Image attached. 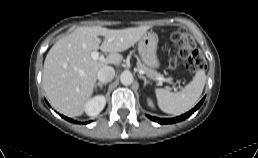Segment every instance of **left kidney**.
<instances>
[{
	"mask_svg": "<svg viewBox=\"0 0 258 158\" xmlns=\"http://www.w3.org/2000/svg\"><path fill=\"white\" fill-rule=\"evenodd\" d=\"M147 102H148V105H149L151 108H154V103H153V101H152L151 99H148Z\"/></svg>",
	"mask_w": 258,
	"mask_h": 158,
	"instance_id": "left-kidney-1",
	"label": "left kidney"
}]
</instances>
